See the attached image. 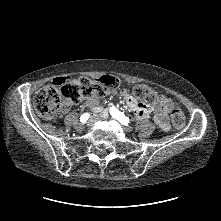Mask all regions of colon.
<instances>
[{"mask_svg": "<svg viewBox=\"0 0 221 221\" xmlns=\"http://www.w3.org/2000/svg\"><path fill=\"white\" fill-rule=\"evenodd\" d=\"M119 86L116 77L107 75L90 79L86 77L67 80L64 85L49 84L36 94L34 107L40 117L45 120H53L61 111L63 105L77 103L83 98L105 96ZM133 94L140 100L148 103L157 101L156 93L148 86L139 84L133 88ZM172 123L175 128L182 129L185 126L183 112L174 105L170 108Z\"/></svg>", "mask_w": 221, "mask_h": 221, "instance_id": "5ec220e1", "label": "colon"}]
</instances>
